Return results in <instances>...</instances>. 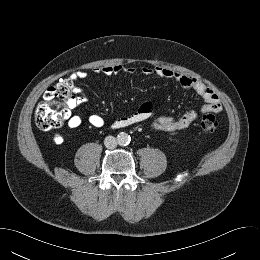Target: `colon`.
<instances>
[{"label": "colon", "mask_w": 260, "mask_h": 260, "mask_svg": "<svg viewBox=\"0 0 260 260\" xmlns=\"http://www.w3.org/2000/svg\"><path fill=\"white\" fill-rule=\"evenodd\" d=\"M73 82L64 78L49 87L44 93V100L35 110V122L41 130H51L59 127L69 112V104L75 100ZM200 125L204 131L214 132L219 127L216 114L208 113L202 116Z\"/></svg>", "instance_id": "colon-1"}]
</instances>
